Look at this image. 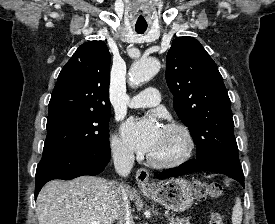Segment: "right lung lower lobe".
<instances>
[{
    "label": "right lung lower lobe",
    "instance_id": "right-lung-lower-lobe-1",
    "mask_svg": "<svg viewBox=\"0 0 275 224\" xmlns=\"http://www.w3.org/2000/svg\"><path fill=\"white\" fill-rule=\"evenodd\" d=\"M109 144L81 151L48 152L43 154L36 170L35 198L50 180H68L83 175H97L110 161Z\"/></svg>",
    "mask_w": 275,
    "mask_h": 224
}]
</instances>
